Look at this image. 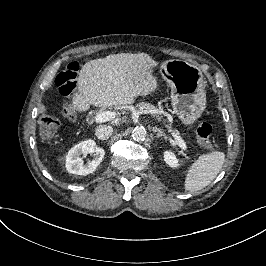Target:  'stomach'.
Returning <instances> with one entry per match:
<instances>
[{
  "label": "stomach",
  "mask_w": 266,
  "mask_h": 266,
  "mask_svg": "<svg viewBox=\"0 0 266 266\" xmlns=\"http://www.w3.org/2000/svg\"><path fill=\"white\" fill-rule=\"evenodd\" d=\"M161 74L171 88L173 112L186 130L194 132L207 105L203 73L190 63L170 60L162 64Z\"/></svg>",
  "instance_id": "stomach-1"
}]
</instances>
